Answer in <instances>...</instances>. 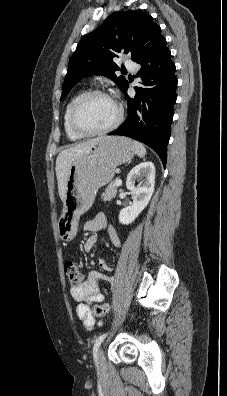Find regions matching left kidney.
Returning a JSON list of instances; mask_svg holds the SVG:
<instances>
[{
  "mask_svg": "<svg viewBox=\"0 0 227 396\" xmlns=\"http://www.w3.org/2000/svg\"><path fill=\"white\" fill-rule=\"evenodd\" d=\"M140 184L135 186V182ZM155 185V166L152 162H142L128 174L126 187L133 194V204L123 208L119 213V222L123 225L132 223L148 205Z\"/></svg>",
  "mask_w": 227,
  "mask_h": 396,
  "instance_id": "5707ae66",
  "label": "left kidney"
}]
</instances>
